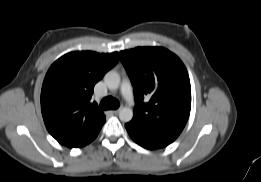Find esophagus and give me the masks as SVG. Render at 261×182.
I'll return each mask as SVG.
<instances>
[{"mask_svg":"<svg viewBox=\"0 0 261 182\" xmlns=\"http://www.w3.org/2000/svg\"><path fill=\"white\" fill-rule=\"evenodd\" d=\"M119 111H120V109H116V110H112L111 112L116 115L119 113Z\"/></svg>","mask_w":261,"mask_h":182,"instance_id":"obj_1","label":"esophagus"}]
</instances>
